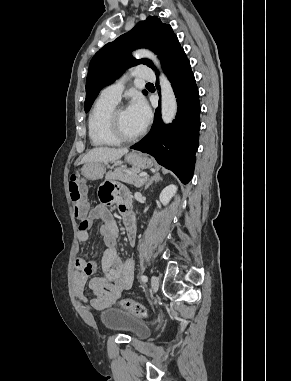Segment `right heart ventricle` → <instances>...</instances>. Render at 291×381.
Listing matches in <instances>:
<instances>
[{"mask_svg": "<svg viewBox=\"0 0 291 381\" xmlns=\"http://www.w3.org/2000/svg\"><path fill=\"white\" fill-rule=\"evenodd\" d=\"M118 101L99 96L88 116V135L95 147H111L119 144L108 132L107 119Z\"/></svg>", "mask_w": 291, "mask_h": 381, "instance_id": "1", "label": "right heart ventricle"}]
</instances>
